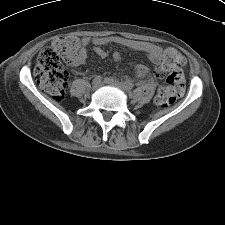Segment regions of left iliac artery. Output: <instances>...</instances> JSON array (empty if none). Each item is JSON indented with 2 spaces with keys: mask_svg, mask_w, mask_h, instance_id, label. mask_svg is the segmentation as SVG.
Instances as JSON below:
<instances>
[{
  "mask_svg": "<svg viewBox=\"0 0 225 225\" xmlns=\"http://www.w3.org/2000/svg\"><path fill=\"white\" fill-rule=\"evenodd\" d=\"M127 86H128V89L131 90V89L133 88L134 85H133L132 83H128Z\"/></svg>",
  "mask_w": 225,
  "mask_h": 225,
  "instance_id": "obj_1",
  "label": "left iliac artery"
}]
</instances>
